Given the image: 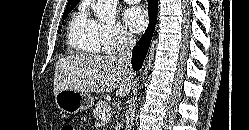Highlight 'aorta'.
Wrapping results in <instances>:
<instances>
[{
    "mask_svg": "<svg viewBox=\"0 0 249 130\" xmlns=\"http://www.w3.org/2000/svg\"><path fill=\"white\" fill-rule=\"evenodd\" d=\"M117 5V0H97L93 5V11L99 20L109 23L116 19Z\"/></svg>",
    "mask_w": 249,
    "mask_h": 130,
    "instance_id": "762f6f07",
    "label": "aorta"
}]
</instances>
